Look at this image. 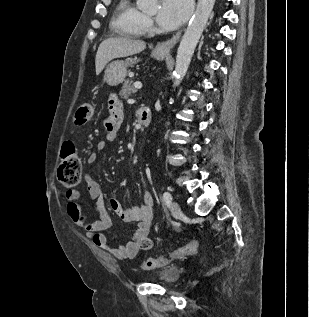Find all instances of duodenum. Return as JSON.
<instances>
[{"instance_id":"1","label":"duodenum","mask_w":309,"mask_h":317,"mask_svg":"<svg viewBox=\"0 0 309 317\" xmlns=\"http://www.w3.org/2000/svg\"><path fill=\"white\" fill-rule=\"evenodd\" d=\"M138 122L140 126L147 127L151 122V111L148 107H141L138 110Z\"/></svg>"}]
</instances>
